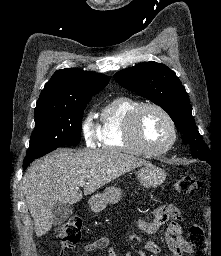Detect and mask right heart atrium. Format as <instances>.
Returning <instances> with one entry per match:
<instances>
[{
	"label": "right heart atrium",
	"mask_w": 221,
	"mask_h": 256,
	"mask_svg": "<svg viewBox=\"0 0 221 256\" xmlns=\"http://www.w3.org/2000/svg\"><path fill=\"white\" fill-rule=\"evenodd\" d=\"M81 131L87 146L94 147L100 141V126L94 122L92 113L83 119Z\"/></svg>",
	"instance_id": "right-heart-atrium-1"
}]
</instances>
